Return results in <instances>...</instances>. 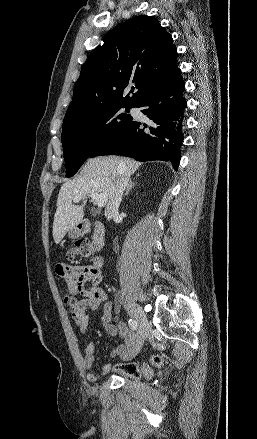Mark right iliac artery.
<instances>
[{"label":"right iliac artery","instance_id":"obj_1","mask_svg":"<svg viewBox=\"0 0 257 439\" xmlns=\"http://www.w3.org/2000/svg\"><path fill=\"white\" fill-rule=\"evenodd\" d=\"M128 325H129L130 329H132V330H136L137 326H138L137 322L133 319L128 320Z\"/></svg>","mask_w":257,"mask_h":439}]
</instances>
